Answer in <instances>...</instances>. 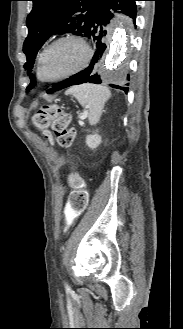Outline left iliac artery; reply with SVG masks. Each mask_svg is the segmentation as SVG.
I'll return each mask as SVG.
<instances>
[{"label": "left iliac artery", "mask_w": 183, "mask_h": 329, "mask_svg": "<svg viewBox=\"0 0 183 329\" xmlns=\"http://www.w3.org/2000/svg\"><path fill=\"white\" fill-rule=\"evenodd\" d=\"M65 289H66V291H70V287L67 283H65Z\"/></svg>", "instance_id": "obj_1"}]
</instances>
